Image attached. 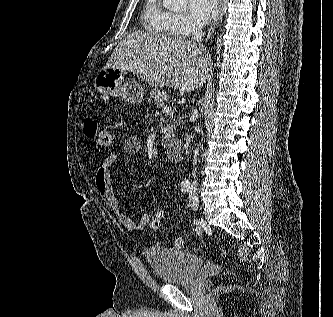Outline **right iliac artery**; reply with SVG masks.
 <instances>
[{
    "label": "right iliac artery",
    "instance_id": "82829eb1",
    "mask_svg": "<svg viewBox=\"0 0 333 317\" xmlns=\"http://www.w3.org/2000/svg\"><path fill=\"white\" fill-rule=\"evenodd\" d=\"M189 189H190L189 184H182V185H181V191H182V192H188ZM195 230H196L197 234H201L200 229L196 228Z\"/></svg>",
    "mask_w": 333,
    "mask_h": 317
}]
</instances>
